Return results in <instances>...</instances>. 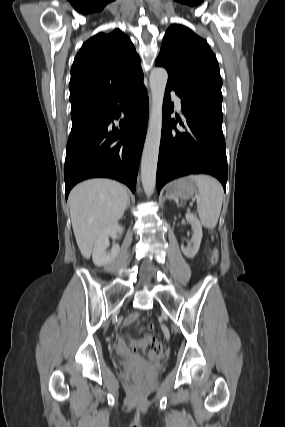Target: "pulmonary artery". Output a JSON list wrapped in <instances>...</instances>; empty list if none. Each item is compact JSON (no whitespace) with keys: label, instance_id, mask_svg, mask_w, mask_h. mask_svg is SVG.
<instances>
[{"label":"pulmonary artery","instance_id":"e3ab8cb5","mask_svg":"<svg viewBox=\"0 0 285 427\" xmlns=\"http://www.w3.org/2000/svg\"><path fill=\"white\" fill-rule=\"evenodd\" d=\"M172 99L174 101L176 109L181 111L182 106H181V100H180L179 96L176 95L175 93H172Z\"/></svg>","mask_w":285,"mask_h":427}]
</instances>
